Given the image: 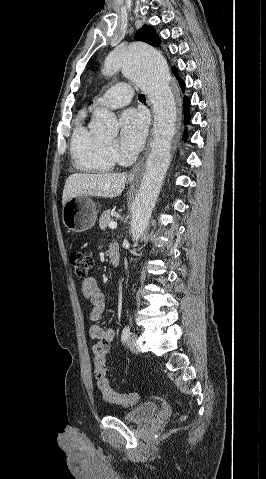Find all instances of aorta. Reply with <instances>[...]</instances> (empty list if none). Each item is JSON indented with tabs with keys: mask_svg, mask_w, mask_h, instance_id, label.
Returning <instances> with one entry per match:
<instances>
[{
	"mask_svg": "<svg viewBox=\"0 0 266 479\" xmlns=\"http://www.w3.org/2000/svg\"><path fill=\"white\" fill-rule=\"evenodd\" d=\"M134 81L153 104L154 124L150 151L147 154L140 184L131 200V234L139 240L144 234L162 182L171 161V141L177 121L176 100L171 88V74L164 57L146 43L134 42L117 47L107 56L103 73L107 76L118 70ZM92 129L98 133L115 134L118 123L113 113L97 111Z\"/></svg>",
	"mask_w": 266,
	"mask_h": 479,
	"instance_id": "1",
	"label": "aorta"
}]
</instances>
